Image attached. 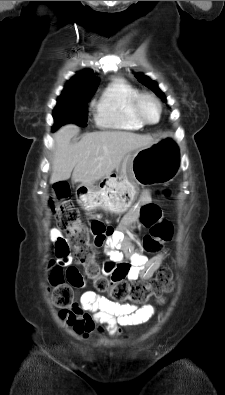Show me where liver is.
<instances>
[{
    "mask_svg": "<svg viewBox=\"0 0 225 395\" xmlns=\"http://www.w3.org/2000/svg\"><path fill=\"white\" fill-rule=\"evenodd\" d=\"M78 132V126L67 124L54 134L50 183L69 179L73 171L74 183L92 186L117 170L128 153L155 143L150 135L99 131L85 134L78 143L71 144V139Z\"/></svg>",
    "mask_w": 225,
    "mask_h": 395,
    "instance_id": "obj_1",
    "label": "liver"
}]
</instances>
